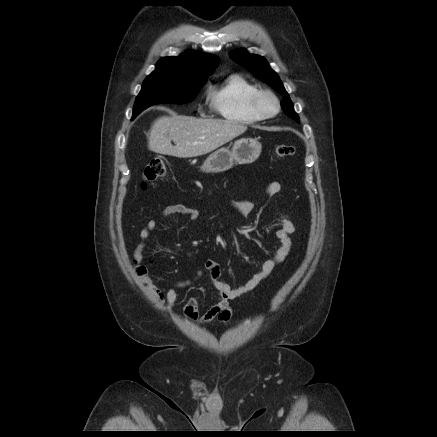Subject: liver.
I'll use <instances>...</instances> for the list:
<instances>
[{
    "instance_id": "6515ba94",
    "label": "liver",
    "mask_w": 437,
    "mask_h": 437,
    "mask_svg": "<svg viewBox=\"0 0 437 437\" xmlns=\"http://www.w3.org/2000/svg\"><path fill=\"white\" fill-rule=\"evenodd\" d=\"M246 130L247 126L228 120L163 116L151 127L148 147L159 154L197 157L212 152Z\"/></svg>"
}]
</instances>
